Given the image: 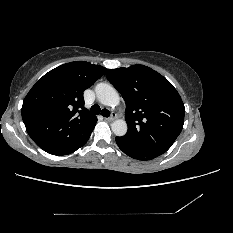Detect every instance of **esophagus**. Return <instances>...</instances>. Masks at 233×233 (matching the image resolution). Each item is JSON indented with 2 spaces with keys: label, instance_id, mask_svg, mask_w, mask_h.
I'll use <instances>...</instances> for the list:
<instances>
[{
  "label": "esophagus",
  "instance_id": "34e87169",
  "mask_svg": "<svg viewBox=\"0 0 233 233\" xmlns=\"http://www.w3.org/2000/svg\"><path fill=\"white\" fill-rule=\"evenodd\" d=\"M116 113H113L109 118H105L106 121H114L116 119Z\"/></svg>",
  "mask_w": 233,
  "mask_h": 233
}]
</instances>
